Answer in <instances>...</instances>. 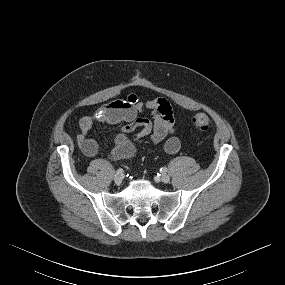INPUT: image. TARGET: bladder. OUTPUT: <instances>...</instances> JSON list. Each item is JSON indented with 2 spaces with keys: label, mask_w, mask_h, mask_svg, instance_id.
Listing matches in <instances>:
<instances>
[{
  "label": "bladder",
  "mask_w": 285,
  "mask_h": 285,
  "mask_svg": "<svg viewBox=\"0 0 285 285\" xmlns=\"http://www.w3.org/2000/svg\"><path fill=\"white\" fill-rule=\"evenodd\" d=\"M136 153V145L128 137L124 135H119L116 137L111 154L116 159H127L131 158Z\"/></svg>",
  "instance_id": "bladder-1"
}]
</instances>
